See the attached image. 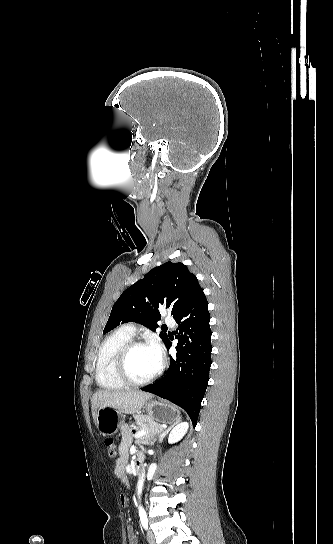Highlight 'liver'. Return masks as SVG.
I'll use <instances>...</instances> for the list:
<instances>
[{"label":"liver","mask_w":333,"mask_h":544,"mask_svg":"<svg viewBox=\"0 0 333 544\" xmlns=\"http://www.w3.org/2000/svg\"><path fill=\"white\" fill-rule=\"evenodd\" d=\"M151 394L139 390H100L91 398V410L96 424L97 410L100 407H109L119 413H139Z\"/></svg>","instance_id":"obj_1"}]
</instances>
